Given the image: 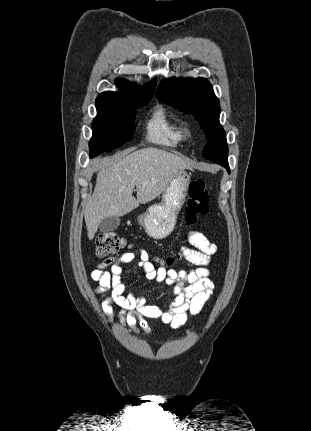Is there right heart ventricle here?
<instances>
[{
    "mask_svg": "<svg viewBox=\"0 0 311 431\" xmlns=\"http://www.w3.org/2000/svg\"><path fill=\"white\" fill-rule=\"evenodd\" d=\"M145 138L152 144L174 149L187 139L184 123L165 106L151 113L145 129Z\"/></svg>",
    "mask_w": 311,
    "mask_h": 431,
    "instance_id": "1",
    "label": "right heart ventricle"
}]
</instances>
